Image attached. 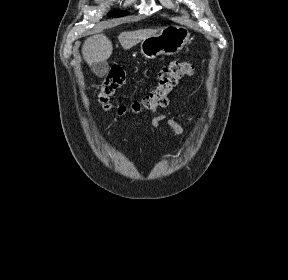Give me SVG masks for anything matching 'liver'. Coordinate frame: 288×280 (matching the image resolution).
Returning <instances> with one entry per match:
<instances>
[{
  "label": "liver",
  "mask_w": 288,
  "mask_h": 280,
  "mask_svg": "<svg viewBox=\"0 0 288 280\" xmlns=\"http://www.w3.org/2000/svg\"><path fill=\"white\" fill-rule=\"evenodd\" d=\"M156 29H140L136 31L122 32L118 39L123 49L128 50L140 41L155 36ZM112 42L104 34H96L87 38L82 47L83 58L88 65L106 61L112 54Z\"/></svg>",
  "instance_id": "liver-1"
}]
</instances>
